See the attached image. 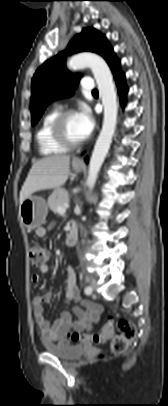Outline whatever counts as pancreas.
Returning <instances> with one entry per match:
<instances>
[{"mask_svg":"<svg viewBox=\"0 0 168 406\" xmlns=\"http://www.w3.org/2000/svg\"><path fill=\"white\" fill-rule=\"evenodd\" d=\"M69 193L66 190H57L48 198V206L53 212H57L58 207L69 203Z\"/></svg>","mask_w":168,"mask_h":406,"instance_id":"obj_1","label":"pancreas"}]
</instances>
